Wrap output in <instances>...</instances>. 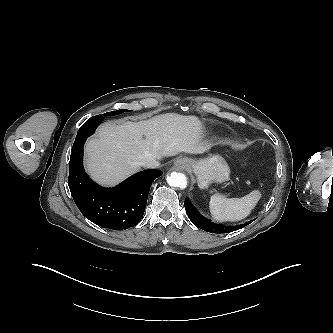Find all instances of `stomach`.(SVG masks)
<instances>
[{
	"mask_svg": "<svg viewBox=\"0 0 333 333\" xmlns=\"http://www.w3.org/2000/svg\"><path fill=\"white\" fill-rule=\"evenodd\" d=\"M189 167L197 176L198 186L207 188L213 182H224L229 179L230 168L219 155L204 159H188Z\"/></svg>",
	"mask_w": 333,
	"mask_h": 333,
	"instance_id": "stomach-1",
	"label": "stomach"
}]
</instances>
